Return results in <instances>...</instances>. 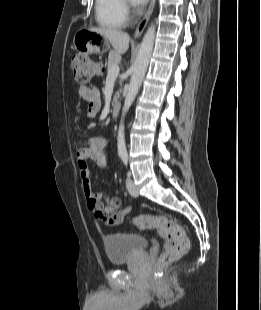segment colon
<instances>
[{"instance_id": "obj_1", "label": "colon", "mask_w": 261, "mask_h": 310, "mask_svg": "<svg viewBox=\"0 0 261 310\" xmlns=\"http://www.w3.org/2000/svg\"><path fill=\"white\" fill-rule=\"evenodd\" d=\"M73 77L78 84L85 85L100 71V65L83 53L73 55L71 59ZM139 229H153L165 240V246L158 258L160 267L178 260L189 249V240L183 226L175 219L164 215H137L132 219Z\"/></svg>"}]
</instances>
